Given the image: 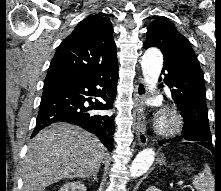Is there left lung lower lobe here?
Here are the masks:
<instances>
[{
  "instance_id": "obj_1",
  "label": "left lung lower lobe",
  "mask_w": 221,
  "mask_h": 191,
  "mask_svg": "<svg viewBox=\"0 0 221 191\" xmlns=\"http://www.w3.org/2000/svg\"><path fill=\"white\" fill-rule=\"evenodd\" d=\"M164 82L170 87L172 99L183 117L180 136L171 141H200L209 135L206 106V89L203 73L195 55L184 58V62L164 64ZM206 147V146H205ZM212 150V148H208Z\"/></svg>"
}]
</instances>
